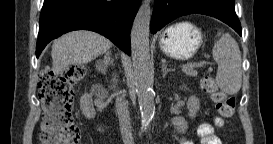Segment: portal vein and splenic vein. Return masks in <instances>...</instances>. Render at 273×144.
Returning a JSON list of instances; mask_svg holds the SVG:
<instances>
[{"mask_svg":"<svg viewBox=\"0 0 273 144\" xmlns=\"http://www.w3.org/2000/svg\"><path fill=\"white\" fill-rule=\"evenodd\" d=\"M198 66H202V64H199V63H190V64H187V65H183L182 68H190V69H193L195 67H198Z\"/></svg>","mask_w":273,"mask_h":144,"instance_id":"portal-vein-and-splenic-vein-1","label":"portal vein and splenic vein"}]
</instances>
